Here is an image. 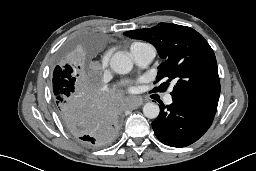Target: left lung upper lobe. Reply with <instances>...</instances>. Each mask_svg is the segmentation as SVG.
<instances>
[{"mask_svg": "<svg viewBox=\"0 0 256 171\" xmlns=\"http://www.w3.org/2000/svg\"><path fill=\"white\" fill-rule=\"evenodd\" d=\"M124 34L150 42L164 59L158 67L156 80L164 79L165 82L152 92H163L170 82H174L171 95L191 93L219 99L216 58L210 45L197 31L187 26L159 23L152 28L127 31Z\"/></svg>", "mask_w": 256, "mask_h": 171, "instance_id": "5c2ea615", "label": "left lung upper lobe"}]
</instances>
